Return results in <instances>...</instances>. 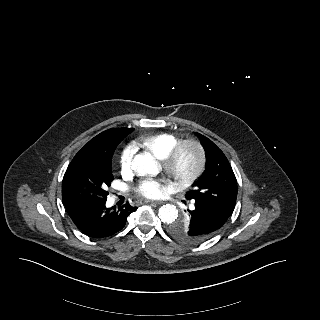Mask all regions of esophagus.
<instances>
[{
	"mask_svg": "<svg viewBox=\"0 0 320 320\" xmlns=\"http://www.w3.org/2000/svg\"><path fill=\"white\" fill-rule=\"evenodd\" d=\"M144 203H149V204H154V205L161 204L160 202H156V201H152V200H148V199H144V200L140 201V204H144Z\"/></svg>",
	"mask_w": 320,
	"mask_h": 320,
	"instance_id": "34e87169",
	"label": "esophagus"
}]
</instances>
